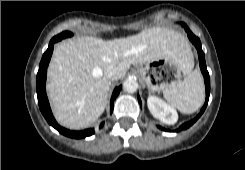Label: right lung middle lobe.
I'll list each match as a JSON object with an SVG mask.
<instances>
[{"mask_svg":"<svg viewBox=\"0 0 245 170\" xmlns=\"http://www.w3.org/2000/svg\"><path fill=\"white\" fill-rule=\"evenodd\" d=\"M73 34L71 32H68V31H64L62 32L61 34L55 36L54 38H56L57 40H62L63 38H66V37H71Z\"/></svg>","mask_w":245,"mask_h":170,"instance_id":"right-lung-middle-lobe-1","label":"right lung middle lobe"}]
</instances>
